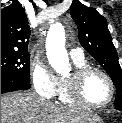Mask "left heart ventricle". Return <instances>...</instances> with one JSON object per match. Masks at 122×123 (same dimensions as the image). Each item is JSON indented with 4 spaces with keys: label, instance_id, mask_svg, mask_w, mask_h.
Listing matches in <instances>:
<instances>
[{
    "label": "left heart ventricle",
    "instance_id": "1",
    "mask_svg": "<svg viewBox=\"0 0 122 123\" xmlns=\"http://www.w3.org/2000/svg\"><path fill=\"white\" fill-rule=\"evenodd\" d=\"M83 95L90 102L102 103L110 96V86L102 75L92 73L86 79Z\"/></svg>",
    "mask_w": 122,
    "mask_h": 123
}]
</instances>
